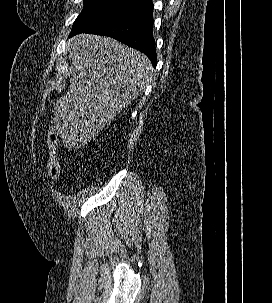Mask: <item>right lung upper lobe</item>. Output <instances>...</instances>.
<instances>
[{
    "label": "right lung upper lobe",
    "instance_id": "1",
    "mask_svg": "<svg viewBox=\"0 0 272 303\" xmlns=\"http://www.w3.org/2000/svg\"><path fill=\"white\" fill-rule=\"evenodd\" d=\"M118 1H124V2H129V3L135 4L141 10H144V9H147V8L153 6L152 0H118Z\"/></svg>",
    "mask_w": 272,
    "mask_h": 303
}]
</instances>
